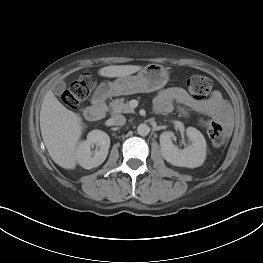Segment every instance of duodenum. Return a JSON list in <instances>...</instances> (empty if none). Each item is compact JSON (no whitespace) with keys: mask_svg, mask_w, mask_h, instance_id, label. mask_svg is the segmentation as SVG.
I'll list each match as a JSON object with an SVG mask.
<instances>
[{"mask_svg":"<svg viewBox=\"0 0 263 263\" xmlns=\"http://www.w3.org/2000/svg\"><path fill=\"white\" fill-rule=\"evenodd\" d=\"M107 89L99 88L93 96L92 104L85 110V118L88 121L95 122L101 120L106 114Z\"/></svg>","mask_w":263,"mask_h":263,"instance_id":"obj_1","label":"duodenum"}]
</instances>
